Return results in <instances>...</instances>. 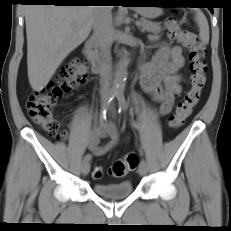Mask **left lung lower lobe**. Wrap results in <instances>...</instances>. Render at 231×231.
<instances>
[{"instance_id": "0a47b994", "label": "left lung lower lobe", "mask_w": 231, "mask_h": 231, "mask_svg": "<svg viewBox=\"0 0 231 231\" xmlns=\"http://www.w3.org/2000/svg\"><path fill=\"white\" fill-rule=\"evenodd\" d=\"M208 9L211 11V13H213V8L212 7H208Z\"/></svg>"}]
</instances>
